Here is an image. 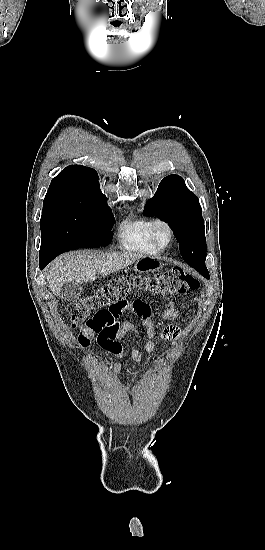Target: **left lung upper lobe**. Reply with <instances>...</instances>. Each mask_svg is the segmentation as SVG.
<instances>
[{"label":"left lung upper lobe","instance_id":"obj_1","mask_svg":"<svg viewBox=\"0 0 265 550\" xmlns=\"http://www.w3.org/2000/svg\"><path fill=\"white\" fill-rule=\"evenodd\" d=\"M143 213L168 223L180 253L188 265L205 263L206 238L199 200L178 175H169L159 184L155 195L146 202Z\"/></svg>","mask_w":265,"mask_h":550}]
</instances>
